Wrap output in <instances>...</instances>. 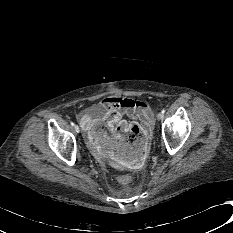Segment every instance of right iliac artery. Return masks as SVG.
I'll return each instance as SVG.
<instances>
[{
  "mask_svg": "<svg viewBox=\"0 0 233 233\" xmlns=\"http://www.w3.org/2000/svg\"><path fill=\"white\" fill-rule=\"evenodd\" d=\"M71 125L74 126L75 124L73 122H71Z\"/></svg>",
  "mask_w": 233,
  "mask_h": 233,
  "instance_id": "right-iliac-artery-1",
  "label": "right iliac artery"
}]
</instances>
